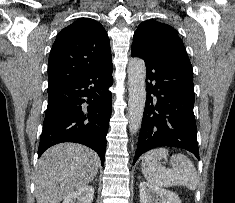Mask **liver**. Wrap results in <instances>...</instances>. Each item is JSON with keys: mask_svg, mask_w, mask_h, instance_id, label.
<instances>
[{"mask_svg": "<svg viewBox=\"0 0 235 203\" xmlns=\"http://www.w3.org/2000/svg\"><path fill=\"white\" fill-rule=\"evenodd\" d=\"M98 155L75 143L52 146L38 161L35 175L37 203H60L89 184L98 172Z\"/></svg>", "mask_w": 235, "mask_h": 203, "instance_id": "obj_1", "label": "liver"}]
</instances>
